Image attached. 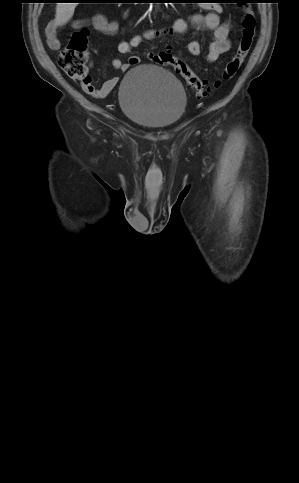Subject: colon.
Here are the masks:
<instances>
[{
	"label": "colon",
	"mask_w": 299,
	"mask_h": 483,
	"mask_svg": "<svg viewBox=\"0 0 299 483\" xmlns=\"http://www.w3.org/2000/svg\"><path fill=\"white\" fill-rule=\"evenodd\" d=\"M255 27L256 20L253 12L249 9L244 10L237 47L226 63L221 75L213 81L201 79L183 59L172 55L169 51L153 53L150 59L157 65L173 68L184 78L197 96L206 97L236 75L251 49ZM87 42V33L84 30L74 33L68 44L61 51L58 63L69 77L78 80L83 88L91 90L93 85L88 75Z\"/></svg>",
	"instance_id": "obj_1"
}]
</instances>
